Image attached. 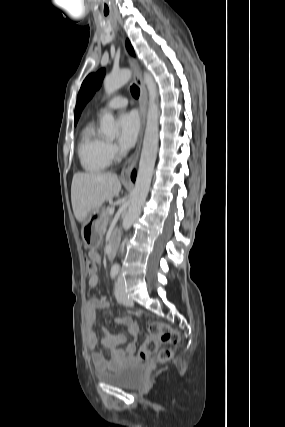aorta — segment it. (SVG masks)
<instances>
[{"label": "aorta", "instance_id": "1", "mask_svg": "<svg viewBox=\"0 0 285 427\" xmlns=\"http://www.w3.org/2000/svg\"><path fill=\"white\" fill-rule=\"evenodd\" d=\"M130 77L131 71L129 69H123L117 73L107 75L103 82L106 94H113L124 86L130 80ZM144 81L149 94L147 122L135 187L128 211L123 219V228L126 231L130 229L134 221L139 217L142 206L145 203L158 150L159 106L157 87L149 73H144ZM100 131L102 135L110 139H113L118 134V125L111 113H105L101 118Z\"/></svg>", "mask_w": 285, "mask_h": 427}]
</instances>
